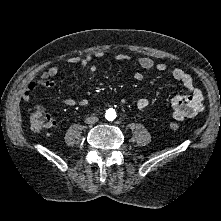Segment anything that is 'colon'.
Here are the masks:
<instances>
[{"instance_id": "1", "label": "colon", "mask_w": 221, "mask_h": 221, "mask_svg": "<svg viewBox=\"0 0 221 221\" xmlns=\"http://www.w3.org/2000/svg\"><path fill=\"white\" fill-rule=\"evenodd\" d=\"M53 119L50 114L43 109L38 107L30 117L31 129L35 132H42L52 126ZM181 123L179 120H174L169 123V128L172 131H177L181 129Z\"/></svg>"}]
</instances>
